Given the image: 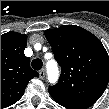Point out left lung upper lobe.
I'll list each match as a JSON object with an SVG mask.
<instances>
[{
  "label": "left lung upper lobe",
  "instance_id": "5c2ea615",
  "mask_svg": "<svg viewBox=\"0 0 109 109\" xmlns=\"http://www.w3.org/2000/svg\"><path fill=\"white\" fill-rule=\"evenodd\" d=\"M45 36L61 66L59 82L48 90L93 105L109 82V56L102 43L76 25L48 29Z\"/></svg>",
  "mask_w": 109,
  "mask_h": 109
}]
</instances>
